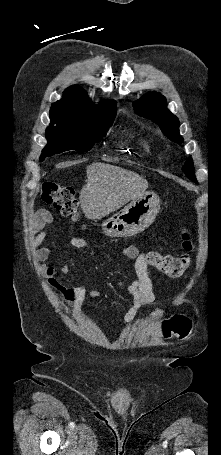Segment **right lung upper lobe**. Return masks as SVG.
Masks as SVG:
<instances>
[{
	"instance_id": "1",
	"label": "right lung upper lobe",
	"mask_w": 221,
	"mask_h": 455,
	"mask_svg": "<svg viewBox=\"0 0 221 455\" xmlns=\"http://www.w3.org/2000/svg\"><path fill=\"white\" fill-rule=\"evenodd\" d=\"M112 109H116L114 100H104L98 106L93 105L86 92L81 87L73 85L64 91L60 101L52 105L50 117L84 121Z\"/></svg>"
}]
</instances>
